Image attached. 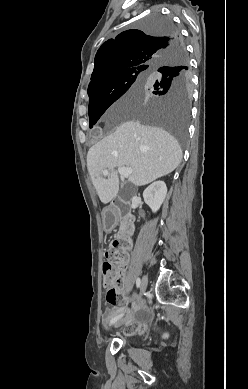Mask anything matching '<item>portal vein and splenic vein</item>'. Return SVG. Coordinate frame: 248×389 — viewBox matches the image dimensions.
Here are the masks:
<instances>
[{"mask_svg": "<svg viewBox=\"0 0 248 389\" xmlns=\"http://www.w3.org/2000/svg\"><path fill=\"white\" fill-rule=\"evenodd\" d=\"M118 172L122 177L127 178L132 174V169L129 167H118ZM108 174H109V171L107 169H105L103 171V175H108Z\"/></svg>", "mask_w": 248, "mask_h": 389, "instance_id": "1", "label": "portal vein and splenic vein"}]
</instances>
